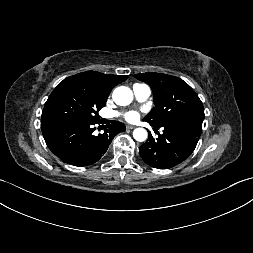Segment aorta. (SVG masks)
Returning a JSON list of instances; mask_svg holds the SVG:
<instances>
[{
	"mask_svg": "<svg viewBox=\"0 0 253 253\" xmlns=\"http://www.w3.org/2000/svg\"><path fill=\"white\" fill-rule=\"evenodd\" d=\"M113 100L117 105L126 106L133 100V93L130 88L125 86L117 87L113 91ZM148 133L144 128H136L133 131V137L136 141L143 142L147 139Z\"/></svg>",
	"mask_w": 253,
	"mask_h": 253,
	"instance_id": "1",
	"label": "aorta"
}]
</instances>
